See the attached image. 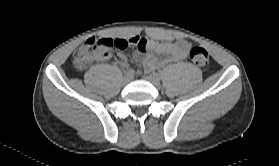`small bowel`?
I'll list each match as a JSON object with an SVG mask.
<instances>
[{"mask_svg":"<svg viewBox=\"0 0 279 166\" xmlns=\"http://www.w3.org/2000/svg\"><path fill=\"white\" fill-rule=\"evenodd\" d=\"M129 40L130 44L137 48L134 53L135 60L142 63L147 72L163 67L169 62L183 60L190 47V43L186 40L160 42L144 36H134ZM157 55H162L164 58L159 59ZM119 56L124 58L123 53H119Z\"/></svg>","mask_w":279,"mask_h":166,"instance_id":"c3829d8e","label":"small bowel"}]
</instances>
